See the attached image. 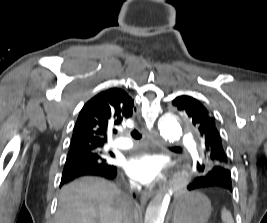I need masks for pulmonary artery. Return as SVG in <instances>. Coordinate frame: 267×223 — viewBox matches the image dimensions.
<instances>
[{"label": "pulmonary artery", "mask_w": 267, "mask_h": 223, "mask_svg": "<svg viewBox=\"0 0 267 223\" xmlns=\"http://www.w3.org/2000/svg\"><path fill=\"white\" fill-rule=\"evenodd\" d=\"M114 145L119 149H130L133 146V142L127 137H122L117 139Z\"/></svg>", "instance_id": "pulmonary-artery-1"}]
</instances>
